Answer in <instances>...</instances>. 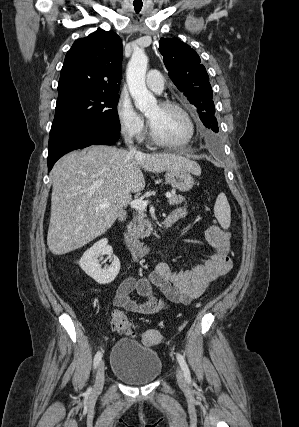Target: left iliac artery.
Returning a JSON list of instances; mask_svg holds the SVG:
<instances>
[{"mask_svg":"<svg viewBox=\"0 0 299 427\" xmlns=\"http://www.w3.org/2000/svg\"><path fill=\"white\" fill-rule=\"evenodd\" d=\"M177 360L179 362V365L184 373V377L187 381L191 380V375H190V371L188 368V365L186 363V361L184 360L183 356L179 353H177Z\"/></svg>","mask_w":299,"mask_h":427,"instance_id":"left-iliac-artery-1","label":"left iliac artery"}]
</instances>
